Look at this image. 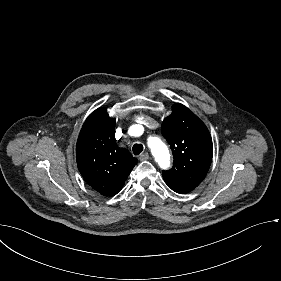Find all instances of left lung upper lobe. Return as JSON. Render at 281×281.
I'll return each instance as SVG.
<instances>
[{"label": "left lung upper lobe", "mask_w": 281, "mask_h": 281, "mask_svg": "<svg viewBox=\"0 0 281 281\" xmlns=\"http://www.w3.org/2000/svg\"><path fill=\"white\" fill-rule=\"evenodd\" d=\"M161 133L174 156L173 167L163 171V179L173 191L188 193L202 182L210 167L213 154L210 133L196 115L178 103L163 121Z\"/></svg>", "instance_id": "5c2ea615"}]
</instances>
